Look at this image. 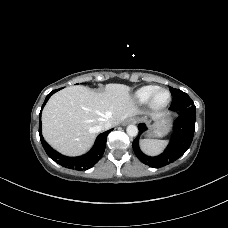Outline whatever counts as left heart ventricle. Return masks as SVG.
Segmentation results:
<instances>
[{
  "mask_svg": "<svg viewBox=\"0 0 228 228\" xmlns=\"http://www.w3.org/2000/svg\"><path fill=\"white\" fill-rule=\"evenodd\" d=\"M167 98H168L167 93L165 91H161L156 97V102L158 104L164 103L167 100Z\"/></svg>",
  "mask_w": 228,
  "mask_h": 228,
  "instance_id": "obj_1",
  "label": "left heart ventricle"
}]
</instances>
